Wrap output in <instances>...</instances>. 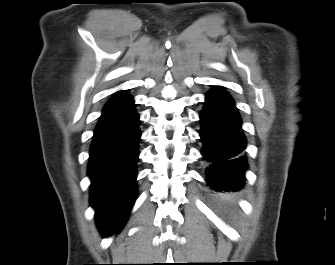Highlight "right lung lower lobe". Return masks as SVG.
Segmentation results:
<instances>
[{
  "label": "right lung lower lobe",
  "instance_id": "obj_1",
  "mask_svg": "<svg viewBox=\"0 0 335 265\" xmlns=\"http://www.w3.org/2000/svg\"><path fill=\"white\" fill-rule=\"evenodd\" d=\"M139 116L125 91L106 103L94 130L88 175L90 202L102 236L118 231L136 197Z\"/></svg>",
  "mask_w": 335,
  "mask_h": 265
}]
</instances>
